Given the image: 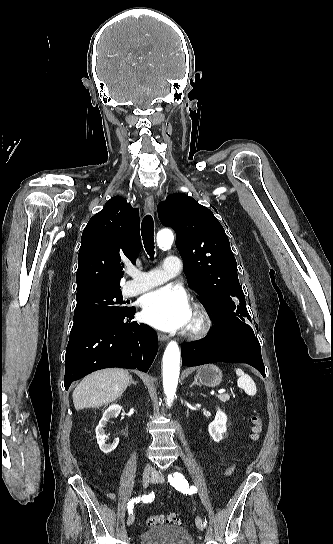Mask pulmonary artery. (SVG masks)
<instances>
[{
  "label": "pulmonary artery",
  "instance_id": "pulmonary-artery-1",
  "mask_svg": "<svg viewBox=\"0 0 333 544\" xmlns=\"http://www.w3.org/2000/svg\"><path fill=\"white\" fill-rule=\"evenodd\" d=\"M181 271V260L176 256H168L164 259L159 268L149 272H134L131 280L125 288L127 296H135L158 285L163 284L170 278L177 276Z\"/></svg>",
  "mask_w": 333,
  "mask_h": 544
}]
</instances>
